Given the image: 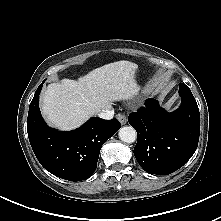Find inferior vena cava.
Returning a JSON list of instances; mask_svg holds the SVG:
<instances>
[{
  "instance_id": "obj_1",
  "label": "inferior vena cava",
  "mask_w": 221,
  "mask_h": 221,
  "mask_svg": "<svg viewBox=\"0 0 221 221\" xmlns=\"http://www.w3.org/2000/svg\"><path fill=\"white\" fill-rule=\"evenodd\" d=\"M113 116H114V110L112 108L103 110L100 113H98V117L105 120L112 119Z\"/></svg>"
}]
</instances>
